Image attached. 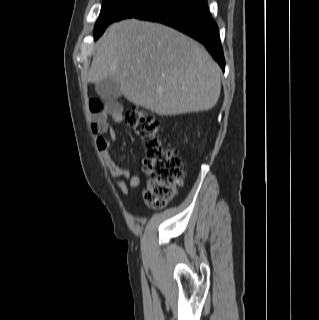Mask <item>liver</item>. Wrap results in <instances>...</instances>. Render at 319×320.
I'll list each match as a JSON object with an SVG mask.
<instances>
[{
	"label": "liver",
	"mask_w": 319,
	"mask_h": 320,
	"mask_svg": "<svg viewBox=\"0 0 319 320\" xmlns=\"http://www.w3.org/2000/svg\"><path fill=\"white\" fill-rule=\"evenodd\" d=\"M221 69L195 40L162 24L127 19L99 40L88 81L111 77L124 97L162 116L213 108Z\"/></svg>",
	"instance_id": "obj_1"
}]
</instances>
